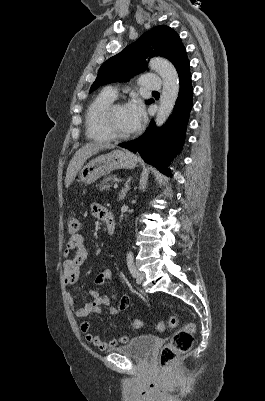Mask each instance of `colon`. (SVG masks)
I'll return each mask as SVG.
<instances>
[{"instance_id": "obj_1", "label": "colon", "mask_w": 265, "mask_h": 401, "mask_svg": "<svg viewBox=\"0 0 265 401\" xmlns=\"http://www.w3.org/2000/svg\"><path fill=\"white\" fill-rule=\"evenodd\" d=\"M81 229V221L78 216L70 215L67 218V232L70 235H76ZM126 308V305L123 306ZM179 324V319L176 315L170 316L168 319L160 321L157 325L159 331L164 332L168 329L176 328ZM143 323L141 320H134L133 327L140 329ZM196 331L195 324L187 323L182 328L177 330L172 336L170 342L166 344L160 352V366L164 371H168L176 359L188 352L193 343V336Z\"/></svg>"}]
</instances>
